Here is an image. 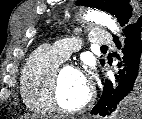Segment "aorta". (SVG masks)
Segmentation results:
<instances>
[{"instance_id":"obj_1","label":"aorta","mask_w":142,"mask_h":119,"mask_svg":"<svg viewBox=\"0 0 142 119\" xmlns=\"http://www.w3.org/2000/svg\"><path fill=\"white\" fill-rule=\"evenodd\" d=\"M85 18L91 21H95L97 23L106 26L111 32L118 34L119 27L116 24V21L112 19V17L104 12L100 11H88L85 15Z\"/></svg>"}]
</instances>
